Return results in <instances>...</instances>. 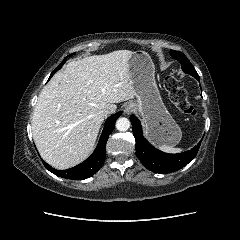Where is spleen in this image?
I'll return each instance as SVG.
<instances>
[{
	"label": "spleen",
	"instance_id": "spleen-1",
	"mask_svg": "<svg viewBox=\"0 0 240 240\" xmlns=\"http://www.w3.org/2000/svg\"><path fill=\"white\" fill-rule=\"evenodd\" d=\"M158 148L161 151L166 152V153H179V152L183 151V149H181V148H173V147L165 145V144L159 145Z\"/></svg>",
	"mask_w": 240,
	"mask_h": 240
}]
</instances>
